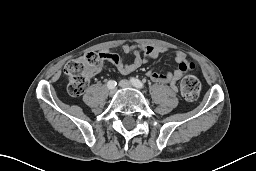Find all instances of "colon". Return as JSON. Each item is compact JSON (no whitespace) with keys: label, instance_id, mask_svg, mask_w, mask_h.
Instances as JSON below:
<instances>
[{"label":"colon","instance_id":"obj_1","mask_svg":"<svg viewBox=\"0 0 256 171\" xmlns=\"http://www.w3.org/2000/svg\"><path fill=\"white\" fill-rule=\"evenodd\" d=\"M101 63L100 55L91 52L66 64L64 75L68 82V92L71 96H79L85 91L90 75L100 67ZM193 69V63H188L184 66L186 72ZM200 89V81L195 76L187 75L183 78L180 90L185 100L195 101L199 96Z\"/></svg>","mask_w":256,"mask_h":171}]
</instances>
